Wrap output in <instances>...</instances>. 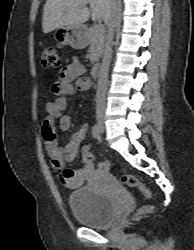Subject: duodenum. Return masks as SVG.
<instances>
[{
  "instance_id": "410a0bca",
  "label": "duodenum",
  "mask_w": 194,
  "mask_h": 250,
  "mask_svg": "<svg viewBox=\"0 0 194 250\" xmlns=\"http://www.w3.org/2000/svg\"><path fill=\"white\" fill-rule=\"evenodd\" d=\"M99 75H100V65L99 64H95L92 67V78L94 80H98Z\"/></svg>"
}]
</instances>
